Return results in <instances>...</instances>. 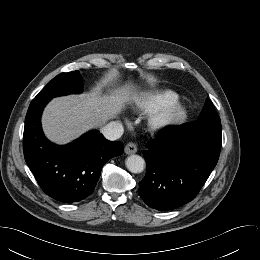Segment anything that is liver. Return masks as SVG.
Segmentation results:
<instances>
[{
  "instance_id": "6515ba94",
  "label": "liver",
  "mask_w": 260,
  "mask_h": 260,
  "mask_svg": "<svg viewBox=\"0 0 260 260\" xmlns=\"http://www.w3.org/2000/svg\"><path fill=\"white\" fill-rule=\"evenodd\" d=\"M137 99L138 91L132 82L108 88L106 93L96 86L84 94L54 98L43 112V131L52 142L67 144L115 118Z\"/></svg>"
}]
</instances>
